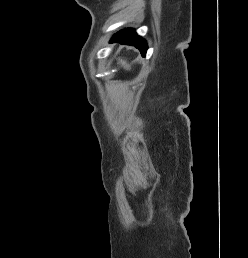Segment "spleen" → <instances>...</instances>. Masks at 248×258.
I'll return each mask as SVG.
<instances>
[{
    "label": "spleen",
    "mask_w": 248,
    "mask_h": 258,
    "mask_svg": "<svg viewBox=\"0 0 248 258\" xmlns=\"http://www.w3.org/2000/svg\"><path fill=\"white\" fill-rule=\"evenodd\" d=\"M121 63H122V64H125V62H124V61H122V60H121Z\"/></svg>",
    "instance_id": "3e777b00"
}]
</instances>
